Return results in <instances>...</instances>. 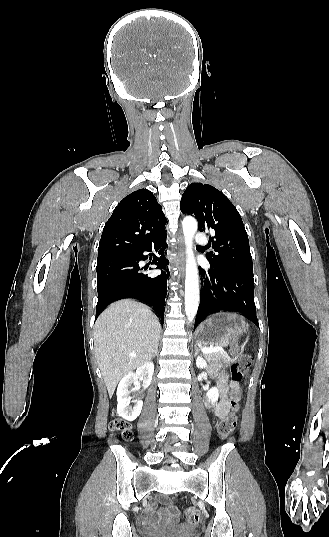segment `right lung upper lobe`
Returning a JSON list of instances; mask_svg holds the SVG:
<instances>
[{
  "label": "right lung upper lobe",
  "mask_w": 329,
  "mask_h": 537,
  "mask_svg": "<svg viewBox=\"0 0 329 537\" xmlns=\"http://www.w3.org/2000/svg\"><path fill=\"white\" fill-rule=\"evenodd\" d=\"M167 220L155 196L139 189L114 209L102 232L98 258L126 256L151 246L166 236Z\"/></svg>",
  "instance_id": "obj_1"
}]
</instances>
